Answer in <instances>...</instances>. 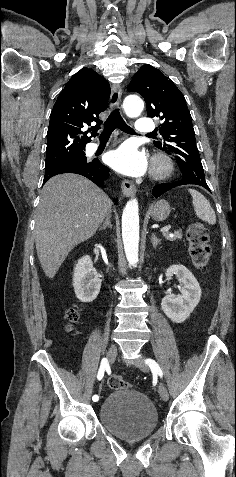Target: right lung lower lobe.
<instances>
[{"mask_svg":"<svg viewBox=\"0 0 236 477\" xmlns=\"http://www.w3.org/2000/svg\"><path fill=\"white\" fill-rule=\"evenodd\" d=\"M62 173L79 174L87 177L99 187H105L104 180L109 177V168L104 166L98 159H94L93 161L84 165L51 168L49 170H45L43 182H46L51 177Z\"/></svg>","mask_w":236,"mask_h":477,"instance_id":"98d812e1","label":"right lung lower lobe"}]
</instances>
